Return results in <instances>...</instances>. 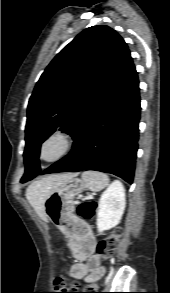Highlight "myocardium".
<instances>
[{"label": "myocardium", "instance_id": "obj_1", "mask_svg": "<svg viewBox=\"0 0 170 293\" xmlns=\"http://www.w3.org/2000/svg\"><path fill=\"white\" fill-rule=\"evenodd\" d=\"M50 146L55 147L52 154H47ZM74 146L72 136L64 130H55L39 144L38 158L42 162L53 163L67 156Z\"/></svg>", "mask_w": 170, "mask_h": 293}]
</instances>
